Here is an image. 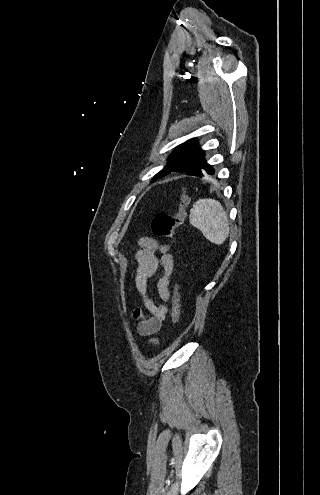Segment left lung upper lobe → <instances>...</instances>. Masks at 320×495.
Masks as SVG:
<instances>
[{
  "mask_svg": "<svg viewBox=\"0 0 320 495\" xmlns=\"http://www.w3.org/2000/svg\"><path fill=\"white\" fill-rule=\"evenodd\" d=\"M205 159L204 151L195 139H190L179 145L169 156V163L157 173L152 181L164 177L171 172L186 173Z\"/></svg>",
  "mask_w": 320,
  "mask_h": 495,
  "instance_id": "5c2ea615",
  "label": "left lung upper lobe"
}]
</instances>
